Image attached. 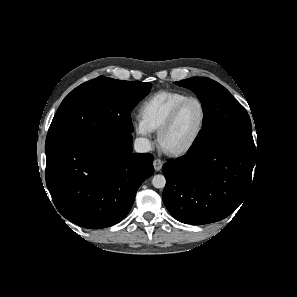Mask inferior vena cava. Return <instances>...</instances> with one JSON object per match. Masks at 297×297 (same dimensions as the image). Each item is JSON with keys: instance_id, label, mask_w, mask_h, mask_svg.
I'll return each instance as SVG.
<instances>
[{"instance_id": "1", "label": "inferior vena cava", "mask_w": 297, "mask_h": 297, "mask_svg": "<svg viewBox=\"0 0 297 297\" xmlns=\"http://www.w3.org/2000/svg\"><path fill=\"white\" fill-rule=\"evenodd\" d=\"M134 149L137 153H147L151 150V143L147 138H136L134 141Z\"/></svg>"}]
</instances>
